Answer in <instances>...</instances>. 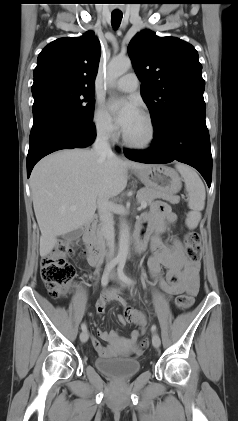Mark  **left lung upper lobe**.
<instances>
[{
  "label": "left lung upper lobe",
  "instance_id": "obj_1",
  "mask_svg": "<svg viewBox=\"0 0 238 421\" xmlns=\"http://www.w3.org/2000/svg\"><path fill=\"white\" fill-rule=\"evenodd\" d=\"M128 53L155 130L181 109L205 106L202 65L191 44L146 30L131 40Z\"/></svg>",
  "mask_w": 238,
  "mask_h": 421
}]
</instances>
